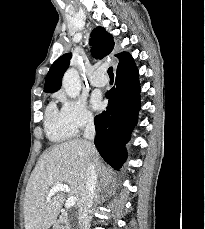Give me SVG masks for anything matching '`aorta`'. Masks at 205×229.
<instances>
[{"label":"aorta","mask_w":205,"mask_h":229,"mask_svg":"<svg viewBox=\"0 0 205 229\" xmlns=\"http://www.w3.org/2000/svg\"><path fill=\"white\" fill-rule=\"evenodd\" d=\"M62 86L70 98H76L81 91L79 73L75 68H69L62 79Z\"/></svg>","instance_id":"1"}]
</instances>
